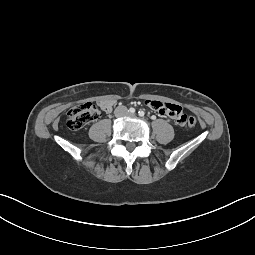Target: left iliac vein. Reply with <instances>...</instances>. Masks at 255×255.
Masks as SVG:
<instances>
[{
  "instance_id": "obj_1",
  "label": "left iliac vein",
  "mask_w": 255,
  "mask_h": 255,
  "mask_svg": "<svg viewBox=\"0 0 255 255\" xmlns=\"http://www.w3.org/2000/svg\"><path fill=\"white\" fill-rule=\"evenodd\" d=\"M129 116H130V117H135V114H130Z\"/></svg>"
}]
</instances>
